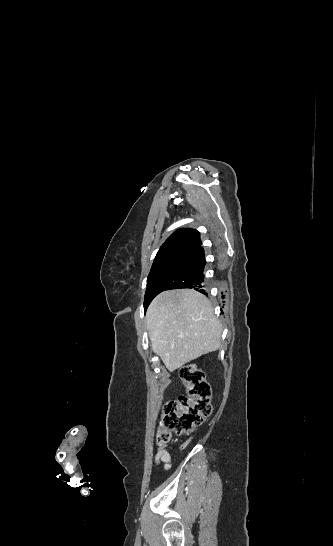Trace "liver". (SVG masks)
Segmentation results:
<instances>
[{
    "label": "liver",
    "mask_w": 333,
    "mask_h": 546,
    "mask_svg": "<svg viewBox=\"0 0 333 546\" xmlns=\"http://www.w3.org/2000/svg\"><path fill=\"white\" fill-rule=\"evenodd\" d=\"M146 325L154 352L171 372L220 347L221 323L207 297L193 289L158 294Z\"/></svg>",
    "instance_id": "obj_1"
}]
</instances>
